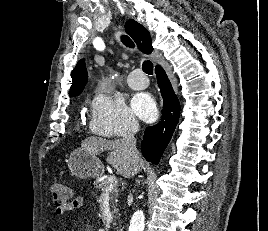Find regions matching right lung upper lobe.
I'll return each instance as SVG.
<instances>
[{
	"instance_id": "right-lung-upper-lobe-1",
	"label": "right lung upper lobe",
	"mask_w": 268,
	"mask_h": 231,
	"mask_svg": "<svg viewBox=\"0 0 268 231\" xmlns=\"http://www.w3.org/2000/svg\"><path fill=\"white\" fill-rule=\"evenodd\" d=\"M125 30L126 33L133 38L138 48L142 52L150 54L153 51L150 34L147 29L144 28L141 24H139L135 20H128L125 23ZM71 77L73 83L70 88L69 95H79L82 92L84 86L86 85L88 79L84 60L78 61L76 67L71 73Z\"/></svg>"
}]
</instances>
